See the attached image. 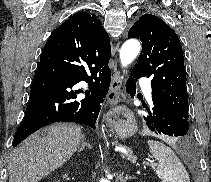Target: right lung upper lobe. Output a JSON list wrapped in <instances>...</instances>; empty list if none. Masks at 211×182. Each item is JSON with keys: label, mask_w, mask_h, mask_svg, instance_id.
<instances>
[{"label": "right lung upper lobe", "mask_w": 211, "mask_h": 182, "mask_svg": "<svg viewBox=\"0 0 211 182\" xmlns=\"http://www.w3.org/2000/svg\"><path fill=\"white\" fill-rule=\"evenodd\" d=\"M63 25L68 27L79 46L97 47L104 55H111L109 36L95 15L78 12Z\"/></svg>", "instance_id": "cb5924a9"}]
</instances>
